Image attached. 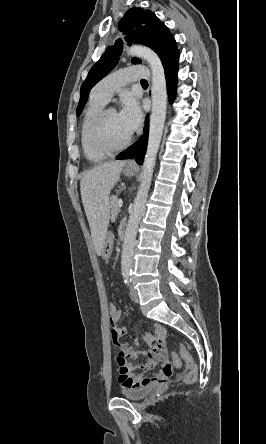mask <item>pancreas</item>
Wrapping results in <instances>:
<instances>
[{"label":"pancreas","instance_id":"cf45deb5","mask_svg":"<svg viewBox=\"0 0 266 444\" xmlns=\"http://www.w3.org/2000/svg\"><path fill=\"white\" fill-rule=\"evenodd\" d=\"M111 216L115 218L118 215V199L116 196L111 197L110 201Z\"/></svg>","mask_w":266,"mask_h":444}]
</instances>
